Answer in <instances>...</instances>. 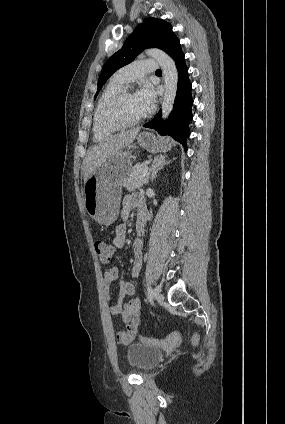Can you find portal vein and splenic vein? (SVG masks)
I'll return each mask as SVG.
<instances>
[{
  "label": "portal vein and splenic vein",
  "instance_id": "18ae733b",
  "mask_svg": "<svg viewBox=\"0 0 285 424\" xmlns=\"http://www.w3.org/2000/svg\"><path fill=\"white\" fill-rule=\"evenodd\" d=\"M148 166H145L143 169H142V174H141V177L143 178V177H145L147 174H148Z\"/></svg>",
  "mask_w": 285,
  "mask_h": 424
}]
</instances>
